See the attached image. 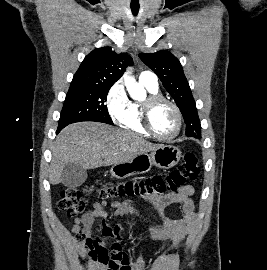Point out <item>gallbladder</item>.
<instances>
[{
    "label": "gallbladder",
    "instance_id": "1",
    "mask_svg": "<svg viewBox=\"0 0 267 270\" xmlns=\"http://www.w3.org/2000/svg\"><path fill=\"white\" fill-rule=\"evenodd\" d=\"M87 179V171L79 164L68 163L62 171V183L69 188L81 186Z\"/></svg>",
    "mask_w": 267,
    "mask_h": 270
}]
</instances>
